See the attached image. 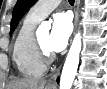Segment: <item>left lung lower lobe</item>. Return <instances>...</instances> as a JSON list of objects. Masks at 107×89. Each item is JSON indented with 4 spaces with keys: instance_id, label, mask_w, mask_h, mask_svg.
Segmentation results:
<instances>
[{
    "instance_id": "obj_1",
    "label": "left lung lower lobe",
    "mask_w": 107,
    "mask_h": 89,
    "mask_svg": "<svg viewBox=\"0 0 107 89\" xmlns=\"http://www.w3.org/2000/svg\"><path fill=\"white\" fill-rule=\"evenodd\" d=\"M57 82H59V78H57Z\"/></svg>"
}]
</instances>
